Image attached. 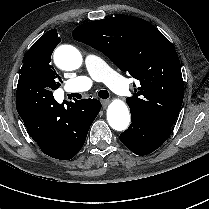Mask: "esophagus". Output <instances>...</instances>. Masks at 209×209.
I'll list each match as a JSON object with an SVG mask.
<instances>
[{"mask_svg": "<svg viewBox=\"0 0 209 209\" xmlns=\"http://www.w3.org/2000/svg\"><path fill=\"white\" fill-rule=\"evenodd\" d=\"M102 105H103V108H106L107 105L110 103V100L106 99V100H102Z\"/></svg>", "mask_w": 209, "mask_h": 209, "instance_id": "esophagus-1", "label": "esophagus"}]
</instances>
